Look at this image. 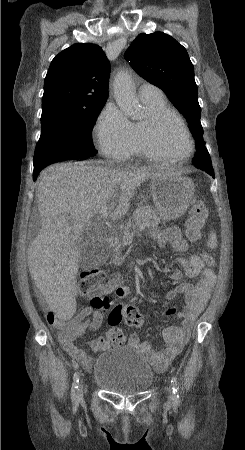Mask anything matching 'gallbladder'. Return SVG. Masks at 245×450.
I'll list each match as a JSON object with an SVG mask.
<instances>
[{"label": "gallbladder", "instance_id": "bac80fb5", "mask_svg": "<svg viewBox=\"0 0 245 450\" xmlns=\"http://www.w3.org/2000/svg\"><path fill=\"white\" fill-rule=\"evenodd\" d=\"M80 251L79 263L82 267L101 264L107 257V246L102 240L93 239L90 235H82L76 242Z\"/></svg>", "mask_w": 245, "mask_h": 450}]
</instances>
